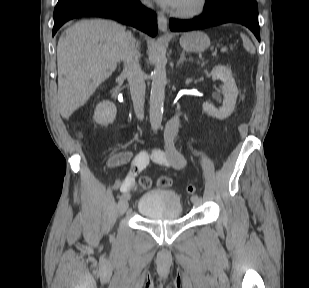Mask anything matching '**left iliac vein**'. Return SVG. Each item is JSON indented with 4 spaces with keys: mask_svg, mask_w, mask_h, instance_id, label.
<instances>
[{
    "mask_svg": "<svg viewBox=\"0 0 309 288\" xmlns=\"http://www.w3.org/2000/svg\"><path fill=\"white\" fill-rule=\"evenodd\" d=\"M192 202H193L194 205L198 206V205L201 204V199H200V198H197V199H195V200H192Z\"/></svg>",
    "mask_w": 309,
    "mask_h": 288,
    "instance_id": "1",
    "label": "left iliac vein"
}]
</instances>
